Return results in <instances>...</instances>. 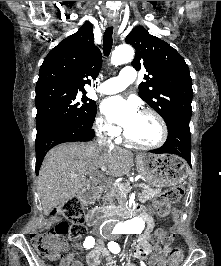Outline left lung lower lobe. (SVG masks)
I'll return each instance as SVG.
<instances>
[{"instance_id": "obj_1", "label": "left lung lower lobe", "mask_w": 221, "mask_h": 266, "mask_svg": "<svg viewBox=\"0 0 221 266\" xmlns=\"http://www.w3.org/2000/svg\"><path fill=\"white\" fill-rule=\"evenodd\" d=\"M190 121H176L168 126V137L164 145L151 150L155 154H174L182 157L191 165Z\"/></svg>"}]
</instances>
